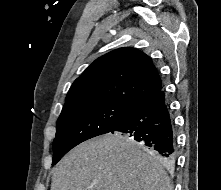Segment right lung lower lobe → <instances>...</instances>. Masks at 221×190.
Masks as SVG:
<instances>
[{
  "label": "right lung lower lobe",
  "mask_w": 221,
  "mask_h": 190,
  "mask_svg": "<svg viewBox=\"0 0 221 190\" xmlns=\"http://www.w3.org/2000/svg\"><path fill=\"white\" fill-rule=\"evenodd\" d=\"M113 132L133 137L166 163L175 160L174 121L163 89L135 105Z\"/></svg>",
  "instance_id": "1"
}]
</instances>
